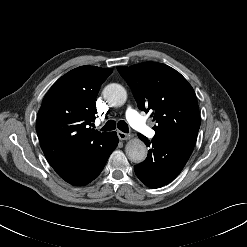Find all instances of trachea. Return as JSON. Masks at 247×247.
I'll use <instances>...</instances> for the list:
<instances>
[{
    "label": "trachea",
    "instance_id": "3493384b",
    "mask_svg": "<svg viewBox=\"0 0 247 247\" xmlns=\"http://www.w3.org/2000/svg\"><path fill=\"white\" fill-rule=\"evenodd\" d=\"M116 127L124 133H128L129 131L128 125L124 120H120L117 123L114 120H109L106 122L102 130L111 131V130H115Z\"/></svg>",
    "mask_w": 247,
    "mask_h": 247
}]
</instances>
